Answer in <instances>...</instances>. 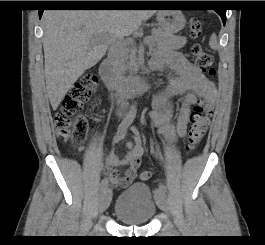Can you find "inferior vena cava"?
Here are the masks:
<instances>
[{"label":"inferior vena cava","instance_id":"obj_1","mask_svg":"<svg viewBox=\"0 0 265 245\" xmlns=\"http://www.w3.org/2000/svg\"><path fill=\"white\" fill-rule=\"evenodd\" d=\"M109 56L113 60L117 79L121 81L123 78L124 64L126 60V50L118 40L111 44L109 48ZM119 104L120 109H124L126 106V101L122 93L119 94L118 105Z\"/></svg>","mask_w":265,"mask_h":245}]
</instances>
